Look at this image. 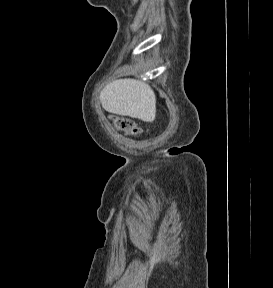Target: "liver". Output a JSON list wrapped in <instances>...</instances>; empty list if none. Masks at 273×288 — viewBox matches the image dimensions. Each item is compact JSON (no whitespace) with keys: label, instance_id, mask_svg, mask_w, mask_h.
<instances>
[{"label":"liver","instance_id":"liver-1","mask_svg":"<svg viewBox=\"0 0 273 288\" xmlns=\"http://www.w3.org/2000/svg\"><path fill=\"white\" fill-rule=\"evenodd\" d=\"M102 107L109 113L153 122L156 96L148 84L136 79H119L109 83L100 93Z\"/></svg>","mask_w":273,"mask_h":288}]
</instances>
